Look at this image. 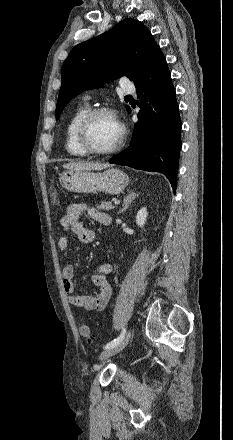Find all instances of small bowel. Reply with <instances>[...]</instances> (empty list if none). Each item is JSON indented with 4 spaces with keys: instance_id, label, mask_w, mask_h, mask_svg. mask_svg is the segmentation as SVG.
<instances>
[{
    "instance_id": "small-bowel-1",
    "label": "small bowel",
    "mask_w": 233,
    "mask_h": 440,
    "mask_svg": "<svg viewBox=\"0 0 233 440\" xmlns=\"http://www.w3.org/2000/svg\"><path fill=\"white\" fill-rule=\"evenodd\" d=\"M87 215L93 221L102 223L105 219L110 218L108 214L102 212L86 203H72L68 205L65 214L60 220V225L64 232H73L77 235L80 242L84 244H91L95 241L96 234L93 230L84 227L81 223V218ZM58 248L65 251L69 246V239L66 235L58 239ZM113 270L112 264L108 262L101 263L97 266L92 275V284L98 288L96 295H76L74 294L73 276L75 273L74 266L67 264L62 269V284L63 290L71 305L77 308L99 311L106 307L111 295L112 288L107 281V275Z\"/></svg>"
}]
</instances>
